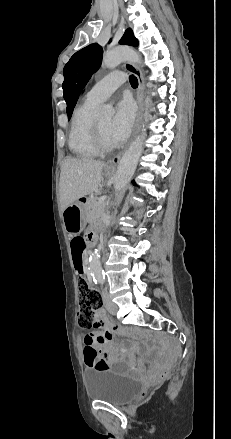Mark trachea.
Returning <instances> with one entry per match:
<instances>
[{"instance_id": "3493384b", "label": "trachea", "mask_w": 231, "mask_h": 439, "mask_svg": "<svg viewBox=\"0 0 231 439\" xmlns=\"http://www.w3.org/2000/svg\"><path fill=\"white\" fill-rule=\"evenodd\" d=\"M129 81H130V84L133 88L138 87V80L134 75L129 76Z\"/></svg>"}]
</instances>
